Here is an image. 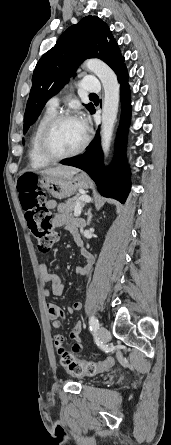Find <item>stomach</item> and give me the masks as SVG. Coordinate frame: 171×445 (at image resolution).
Segmentation results:
<instances>
[{"instance_id":"0dacf381","label":"stomach","mask_w":171,"mask_h":445,"mask_svg":"<svg viewBox=\"0 0 171 445\" xmlns=\"http://www.w3.org/2000/svg\"><path fill=\"white\" fill-rule=\"evenodd\" d=\"M39 182L56 199L68 198L89 187L88 179L82 174L71 177L42 175Z\"/></svg>"}]
</instances>
